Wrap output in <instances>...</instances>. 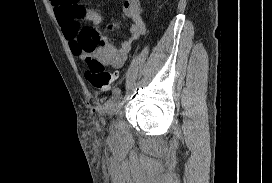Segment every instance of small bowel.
<instances>
[{"label":"small bowel","mask_w":272,"mask_h":183,"mask_svg":"<svg viewBox=\"0 0 272 183\" xmlns=\"http://www.w3.org/2000/svg\"><path fill=\"white\" fill-rule=\"evenodd\" d=\"M51 3L71 51L83 63L86 59H95L119 69L125 64L134 43L146 32L140 0L123 1V13L130 20V35L120 46L112 42L98 11L84 7L78 0H51ZM116 41L119 43L121 40L118 38Z\"/></svg>","instance_id":"small-bowel-1"}]
</instances>
